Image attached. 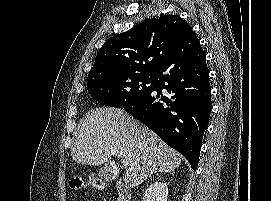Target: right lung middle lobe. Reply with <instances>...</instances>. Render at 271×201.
<instances>
[{
  "mask_svg": "<svg viewBox=\"0 0 271 201\" xmlns=\"http://www.w3.org/2000/svg\"><path fill=\"white\" fill-rule=\"evenodd\" d=\"M154 74H105L94 75L87 79V89L99 103L122 107L153 87Z\"/></svg>",
  "mask_w": 271,
  "mask_h": 201,
  "instance_id": "dd1d6c3e",
  "label": "right lung middle lobe"
}]
</instances>
